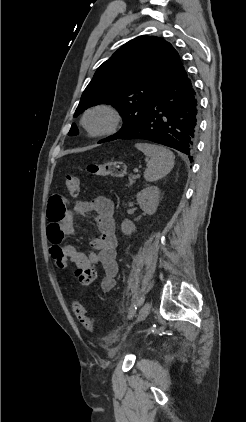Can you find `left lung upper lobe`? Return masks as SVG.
Returning a JSON list of instances; mask_svg holds the SVG:
<instances>
[{
	"mask_svg": "<svg viewBox=\"0 0 246 422\" xmlns=\"http://www.w3.org/2000/svg\"><path fill=\"white\" fill-rule=\"evenodd\" d=\"M180 65L179 54L169 42L155 36L130 40L98 68L74 116L93 105H112L120 113L123 126L99 143L117 138L138 124L156 93ZM77 134L73 124L69 135Z\"/></svg>",
	"mask_w": 246,
	"mask_h": 422,
	"instance_id": "1",
	"label": "left lung upper lobe"
}]
</instances>
